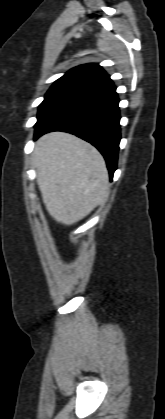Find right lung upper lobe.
<instances>
[{
	"instance_id": "obj_1",
	"label": "right lung upper lobe",
	"mask_w": 165,
	"mask_h": 419,
	"mask_svg": "<svg viewBox=\"0 0 165 419\" xmlns=\"http://www.w3.org/2000/svg\"><path fill=\"white\" fill-rule=\"evenodd\" d=\"M111 85H113V82L102 67L90 63L69 70L56 80L51 88L69 90L85 96Z\"/></svg>"
}]
</instances>
